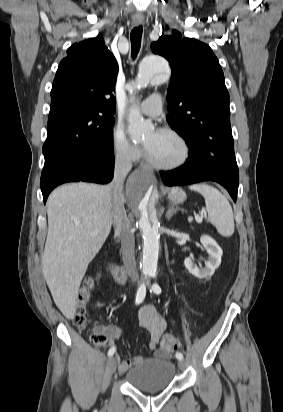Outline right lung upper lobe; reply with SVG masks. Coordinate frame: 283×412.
<instances>
[{"mask_svg": "<svg viewBox=\"0 0 283 412\" xmlns=\"http://www.w3.org/2000/svg\"><path fill=\"white\" fill-rule=\"evenodd\" d=\"M117 74V61L102 37L73 44L56 72L49 115L68 109H94L113 116Z\"/></svg>", "mask_w": 283, "mask_h": 412, "instance_id": "1", "label": "right lung upper lobe"}]
</instances>
